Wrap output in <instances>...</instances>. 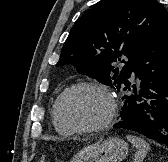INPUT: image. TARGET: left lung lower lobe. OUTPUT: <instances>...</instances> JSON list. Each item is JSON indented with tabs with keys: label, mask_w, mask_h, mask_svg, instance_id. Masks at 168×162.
Instances as JSON below:
<instances>
[{
	"label": "left lung lower lobe",
	"mask_w": 168,
	"mask_h": 162,
	"mask_svg": "<svg viewBox=\"0 0 168 162\" xmlns=\"http://www.w3.org/2000/svg\"><path fill=\"white\" fill-rule=\"evenodd\" d=\"M140 80L137 94L124 96L116 128L136 131L168 146V16L135 57L131 71ZM136 85L126 80L120 91Z\"/></svg>",
	"instance_id": "left-lung-lower-lobe-1"
}]
</instances>
